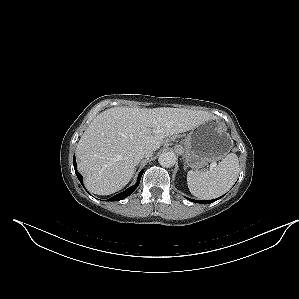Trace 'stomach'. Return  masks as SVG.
I'll return each instance as SVG.
<instances>
[{
    "label": "stomach",
    "instance_id": "0dacf381",
    "mask_svg": "<svg viewBox=\"0 0 299 299\" xmlns=\"http://www.w3.org/2000/svg\"><path fill=\"white\" fill-rule=\"evenodd\" d=\"M232 148V139L215 119L194 127L184 141L185 163L200 169L223 159Z\"/></svg>",
    "mask_w": 299,
    "mask_h": 299
}]
</instances>
